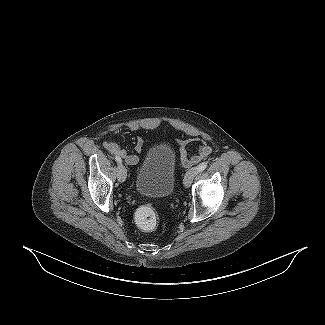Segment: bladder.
I'll use <instances>...</instances> for the list:
<instances>
[{"label": "bladder", "instance_id": "obj_1", "mask_svg": "<svg viewBox=\"0 0 325 325\" xmlns=\"http://www.w3.org/2000/svg\"><path fill=\"white\" fill-rule=\"evenodd\" d=\"M176 183V153L166 142L152 145L146 152L135 177L137 191L144 196H170Z\"/></svg>", "mask_w": 325, "mask_h": 325}]
</instances>
